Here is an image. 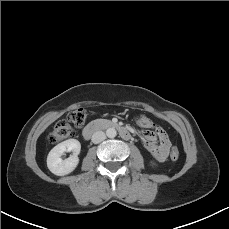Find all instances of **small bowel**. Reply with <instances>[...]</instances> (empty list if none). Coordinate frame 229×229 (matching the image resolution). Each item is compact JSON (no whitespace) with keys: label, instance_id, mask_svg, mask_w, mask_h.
Masks as SVG:
<instances>
[{"label":"small bowel","instance_id":"small-bowel-1","mask_svg":"<svg viewBox=\"0 0 229 229\" xmlns=\"http://www.w3.org/2000/svg\"><path fill=\"white\" fill-rule=\"evenodd\" d=\"M138 123L145 129L142 137V143L145 149L157 162H164L168 157L171 147V142L167 134L161 128H157L156 132L150 130L153 124L146 116H141Z\"/></svg>","mask_w":229,"mask_h":229}]
</instances>
